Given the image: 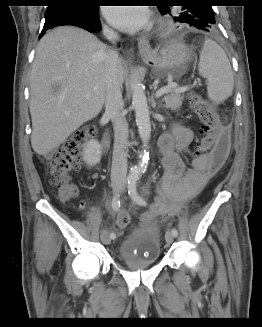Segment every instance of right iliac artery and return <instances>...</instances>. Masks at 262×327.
<instances>
[{
	"mask_svg": "<svg viewBox=\"0 0 262 327\" xmlns=\"http://www.w3.org/2000/svg\"><path fill=\"white\" fill-rule=\"evenodd\" d=\"M132 178H128L127 182L129 183ZM112 208L114 211H118L120 208V196L119 194L115 195L111 202ZM116 235L114 233L110 234L111 239H115Z\"/></svg>",
	"mask_w": 262,
	"mask_h": 327,
	"instance_id": "1",
	"label": "right iliac artery"
}]
</instances>
